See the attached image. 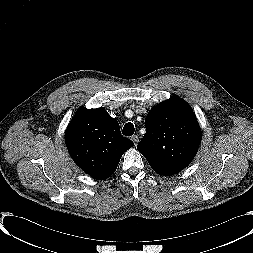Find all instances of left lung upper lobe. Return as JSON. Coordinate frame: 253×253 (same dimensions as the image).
Here are the masks:
<instances>
[{"label": "left lung upper lobe", "instance_id": "obj_1", "mask_svg": "<svg viewBox=\"0 0 253 253\" xmlns=\"http://www.w3.org/2000/svg\"><path fill=\"white\" fill-rule=\"evenodd\" d=\"M145 127L137 149L156 173L170 176L190 164L201 142V130L187 102L172 96L153 107Z\"/></svg>", "mask_w": 253, "mask_h": 253}]
</instances>
